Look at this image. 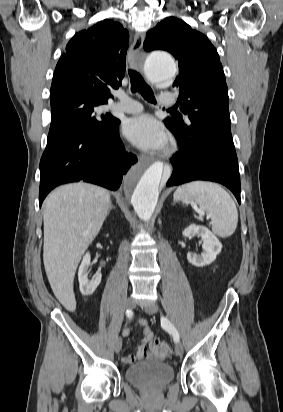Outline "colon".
Instances as JSON below:
<instances>
[{
	"label": "colon",
	"instance_id": "5ec220e1",
	"mask_svg": "<svg viewBox=\"0 0 283 412\" xmlns=\"http://www.w3.org/2000/svg\"><path fill=\"white\" fill-rule=\"evenodd\" d=\"M150 350L156 358H164L171 353L169 345L166 342L157 339L151 341Z\"/></svg>",
	"mask_w": 283,
	"mask_h": 412
}]
</instances>
